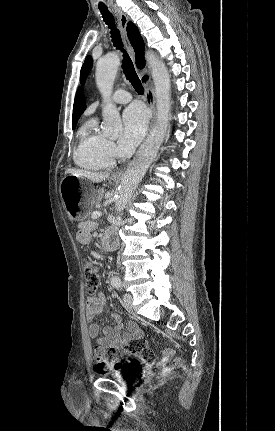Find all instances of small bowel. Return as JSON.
<instances>
[{"label":"small bowel","instance_id":"1","mask_svg":"<svg viewBox=\"0 0 275 431\" xmlns=\"http://www.w3.org/2000/svg\"><path fill=\"white\" fill-rule=\"evenodd\" d=\"M93 224L90 222L81 223L77 233V239L82 244H87L90 241V231ZM101 313H108L115 320L113 327H105L100 330L99 326L94 323V319ZM86 318L89 322V334L99 345L108 349H122L133 340H140L142 332L138 326L129 322L126 325L127 333L122 334L124 324L120 317L114 313H110L103 295L90 297L86 304ZM126 352V351H125ZM128 353V352H126Z\"/></svg>","mask_w":275,"mask_h":431}]
</instances>
